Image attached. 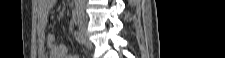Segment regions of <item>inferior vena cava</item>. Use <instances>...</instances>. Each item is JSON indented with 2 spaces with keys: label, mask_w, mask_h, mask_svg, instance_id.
Here are the masks:
<instances>
[{
  "label": "inferior vena cava",
  "mask_w": 225,
  "mask_h": 58,
  "mask_svg": "<svg viewBox=\"0 0 225 58\" xmlns=\"http://www.w3.org/2000/svg\"><path fill=\"white\" fill-rule=\"evenodd\" d=\"M83 2L84 0H79L78 6H77V14H79V16H82V17H84Z\"/></svg>",
  "instance_id": "602c4592"
}]
</instances>
